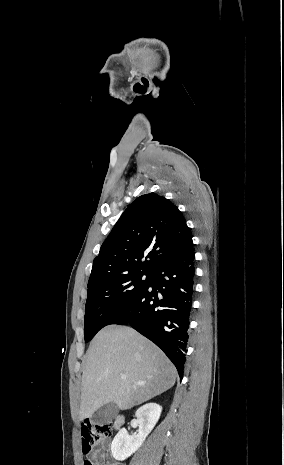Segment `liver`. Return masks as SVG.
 <instances>
[{"mask_svg": "<svg viewBox=\"0 0 284 465\" xmlns=\"http://www.w3.org/2000/svg\"><path fill=\"white\" fill-rule=\"evenodd\" d=\"M176 377L174 365L156 345L130 327L109 325L87 351L79 421L107 403H116L121 411L141 405L171 389Z\"/></svg>", "mask_w": 284, "mask_h": 465, "instance_id": "liver-1", "label": "liver"}]
</instances>
